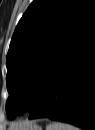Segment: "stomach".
I'll use <instances>...</instances> for the list:
<instances>
[{
	"mask_svg": "<svg viewBox=\"0 0 95 130\" xmlns=\"http://www.w3.org/2000/svg\"><path fill=\"white\" fill-rule=\"evenodd\" d=\"M25 126L28 128L23 129V130H42L41 127L36 124L29 123V124H26Z\"/></svg>",
	"mask_w": 95,
	"mask_h": 130,
	"instance_id": "stomach-1",
	"label": "stomach"
}]
</instances>
